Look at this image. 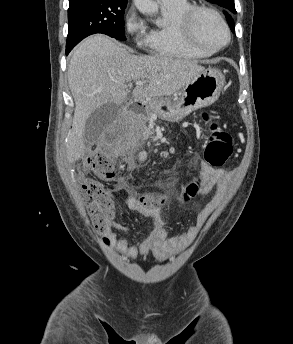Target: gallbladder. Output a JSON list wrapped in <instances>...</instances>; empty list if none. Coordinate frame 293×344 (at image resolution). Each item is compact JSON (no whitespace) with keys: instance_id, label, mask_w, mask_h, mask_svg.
<instances>
[{"instance_id":"gallbladder-1","label":"gallbladder","mask_w":293,"mask_h":344,"mask_svg":"<svg viewBox=\"0 0 293 344\" xmlns=\"http://www.w3.org/2000/svg\"><path fill=\"white\" fill-rule=\"evenodd\" d=\"M120 107L106 103L97 108L87 119L83 138L86 143L97 142L101 134L110 127L118 116Z\"/></svg>"}]
</instances>
